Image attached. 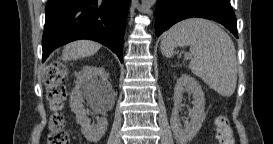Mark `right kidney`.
I'll use <instances>...</instances> for the list:
<instances>
[{"label":"right kidney","instance_id":"right-kidney-1","mask_svg":"<svg viewBox=\"0 0 273 144\" xmlns=\"http://www.w3.org/2000/svg\"><path fill=\"white\" fill-rule=\"evenodd\" d=\"M113 96V90L108 82L107 74L102 67L87 66L70 95V107L76 114V121L81 126V132L90 142H98L107 130L106 118H98L96 125H90V119L82 104L87 97L91 104L99 103Z\"/></svg>","mask_w":273,"mask_h":144}]
</instances>
